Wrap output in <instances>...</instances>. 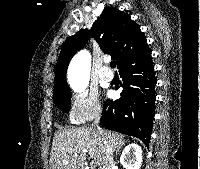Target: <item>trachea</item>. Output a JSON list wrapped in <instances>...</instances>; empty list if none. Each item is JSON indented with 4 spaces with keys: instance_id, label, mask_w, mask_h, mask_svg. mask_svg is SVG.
<instances>
[{
    "instance_id": "trachea-1",
    "label": "trachea",
    "mask_w": 200,
    "mask_h": 169,
    "mask_svg": "<svg viewBox=\"0 0 200 169\" xmlns=\"http://www.w3.org/2000/svg\"><path fill=\"white\" fill-rule=\"evenodd\" d=\"M110 66H111L112 68H115V67H116V62H115V61H112V62L110 63Z\"/></svg>"
}]
</instances>
